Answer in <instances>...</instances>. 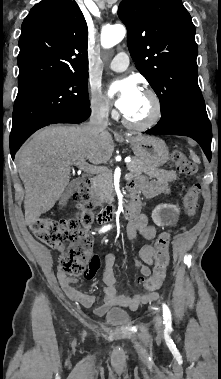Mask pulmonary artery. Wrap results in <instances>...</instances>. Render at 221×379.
Segmentation results:
<instances>
[{
  "instance_id": "obj_1",
  "label": "pulmonary artery",
  "mask_w": 221,
  "mask_h": 379,
  "mask_svg": "<svg viewBox=\"0 0 221 379\" xmlns=\"http://www.w3.org/2000/svg\"><path fill=\"white\" fill-rule=\"evenodd\" d=\"M129 65V57L125 52L118 53L109 63V68L112 71L122 72L127 69Z\"/></svg>"
}]
</instances>
